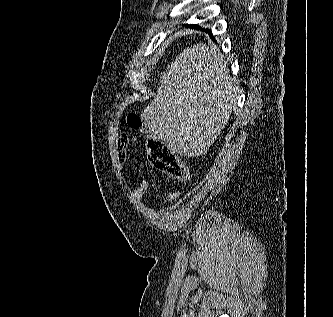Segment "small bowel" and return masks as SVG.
<instances>
[{"mask_svg":"<svg viewBox=\"0 0 333 317\" xmlns=\"http://www.w3.org/2000/svg\"><path fill=\"white\" fill-rule=\"evenodd\" d=\"M135 140V137H130L126 134H122L119 137L117 145V161L120 166H122L127 159V150L129 145ZM149 189V183L147 180L143 179L137 186L131 189L133 195L136 198L143 197ZM178 197L177 192H168L164 194L163 198L167 202H172Z\"/></svg>","mask_w":333,"mask_h":317,"instance_id":"small-bowel-1","label":"small bowel"}]
</instances>
